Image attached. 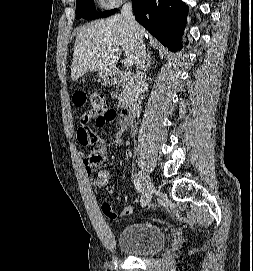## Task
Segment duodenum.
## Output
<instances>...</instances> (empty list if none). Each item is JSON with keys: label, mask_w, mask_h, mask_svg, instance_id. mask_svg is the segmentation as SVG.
Masks as SVG:
<instances>
[{"label": "duodenum", "mask_w": 253, "mask_h": 271, "mask_svg": "<svg viewBox=\"0 0 253 271\" xmlns=\"http://www.w3.org/2000/svg\"><path fill=\"white\" fill-rule=\"evenodd\" d=\"M135 77L134 73L115 71L112 73V81L116 84L125 83ZM137 117V105L135 102L125 104L120 112V118L124 124L129 125L134 122Z\"/></svg>", "instance_id": "410a0bca"}]
</instances>
